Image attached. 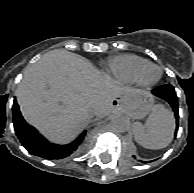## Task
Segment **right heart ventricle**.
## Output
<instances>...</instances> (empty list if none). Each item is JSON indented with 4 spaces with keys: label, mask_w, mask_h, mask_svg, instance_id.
Segmentation results:
<instances>
[{
    "label": "right heart ventricle",
    "mask_w": 194,
    "mask_h": 193,
    "mask_svg": "<svg viewBox=\"0 0 194 193\" xmlns=\"http://www.w3.org/2000/svg\"><path fill=\"white\" fill-rule=\"evenodd\" d=\"M148 60L133 54L116 55L108 59L106 71L121 82H137V72Z\"/></svg>",
    "instance_id": "1"
}]
</instances>
